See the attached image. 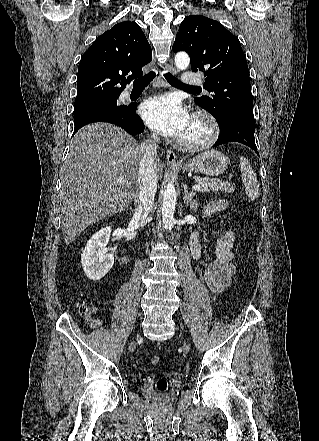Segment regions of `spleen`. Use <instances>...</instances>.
<instances>
[{"label": "spleen", "instance_id": "spleen-1", "mask_svg": "<svg viewBox=\"0 0 319 441\" xmlns=\"http://www.w3.org/2000/svg\"><path fill=\"white\" fill-rule=\"evenodd\" d=\"M240 170L245 193L253 201L259 195V183L249 161L243 156L240 157Z\"/></svg>", "mask_w": 319, "mask_h": 441}]
</instances>
